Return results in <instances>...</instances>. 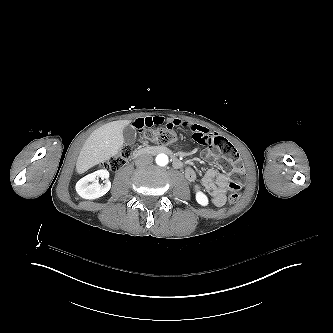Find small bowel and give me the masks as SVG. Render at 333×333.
I'll use <instances>...</instances> for the list:
<instances>
[{"label": "small bowel", "instance_id": "1", "mask_svg": "<svg viewBox=\"0 0 333 333\" xmlns=\"http://www.w3.org/2000/svg\"><path fill=\"white\" fill-rule=\"evenodd\" d=\"M164 123H167L168 127H176L180 125H185L179 119H171L166 122V120L161 116H151V117H144L134 121V126L136 128H145V127H152V126H159ZM194 133H202L208 134L207 130L203 127L194 126L193 127ZM213 154V151H208L207 156ZM185 177L190 182L196 181V173L191 167H187L185 169ZM202 187L210 196L212 203L215 206H223L226 203V188L229 183V176L226 173L219 172L215 168H209L202 178ZM195 191L200 192L201 186L196 185Z\"/></svg>", "mask_w": 333, "mask_h": 333}]
</instances>
